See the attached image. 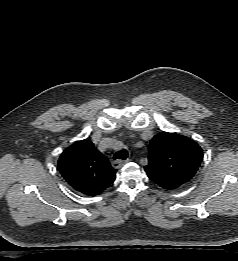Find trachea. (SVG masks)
I'll return each instance as SVG.
<instances>
[{
	"label": "trachea",
	"instance_id": "trachea-1",
	"mask_svg": "<svg viewBox=\"0 0 238 261\" xmlns=\"http://www.w3.org/2000/svg\"><path fill=\"white\" fill-rule=\"evenodd\" d=\"M128 157V152L126 149H122L118 152H116L113 156V159L116 160V159H122V160H125L126 158Z\"/></svg>",
	"mask_w": 238,
	"mask_h": 261
}]
</instances>
